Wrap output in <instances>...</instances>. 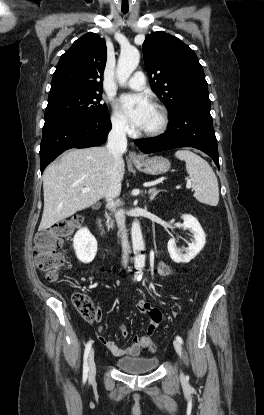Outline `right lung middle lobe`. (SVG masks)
Instances as JSON below:
<instances>
[{
  "label": "right lung middle lobe",
  "instance_id": "dd1d6c3e",
  "mask_svg": "<svg viewBox=\"0 0 264 415\" xmlns=\"http://www.w3.org/2000/svg\"><path fill=\"white\" fill-rule=\"evenodd\" d=\"M102 92L67 91L49 96L45 122L63 118L98 117L109 115L101 104Z\"/></svg>",
  "mask_w": 264,
  "mask_h": 415
}]
</instances>
